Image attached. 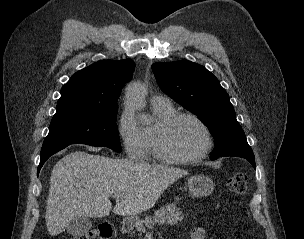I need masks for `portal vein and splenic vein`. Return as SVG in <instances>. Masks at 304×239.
<instances>
[{"label": "portal vein and splenic vein", "instance_id": "18ae733b", "mask_svg": "<svg viewBox=\"0 0 304 239\" xmlns=\"http://www.w3.org/2000/svg\"><path fill=\"white\" fill-rule=\"evenodd\" d=\"M123 194L122 193H116L113 195V198L116 199V201L119 202V200L122 198Z\"/></svg>", "mask_w": 304, "mask_h": 239}]
</instances>
